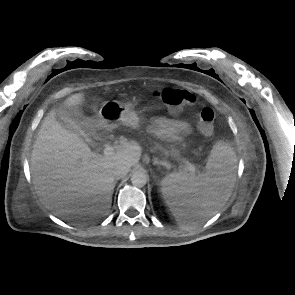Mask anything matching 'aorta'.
I'll return each instance as SVG.
<instances>
[{
    "label": "aorta",
    "instance_id": "762f6f07",
    "mask_svg": "<svg viewBox=\"0 0 295 295\" xmlns=\"http://www.w3.org/2000/svg\"><path fill=\"white\" fill-rule=\"evenodd\" d=\"M148 180V174L143 170L134 172L131 176V182L134 186L143 187Z\"/></svg>",
    "mask_w": 295,
    "mask_h": 295
}]
</instances>
